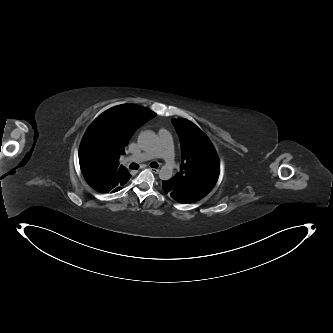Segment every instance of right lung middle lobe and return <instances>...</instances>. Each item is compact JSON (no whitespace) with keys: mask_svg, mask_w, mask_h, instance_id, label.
<instances>
[{"mask_svg":"<svg viewBox=\"0 0 333 333\" xmlns=\"http://www.w3.org/2000/svg\"><path fill=\"white\" fill-rule=\"evenodd\" d=\"M98 147V139L95 137V132L86 131L79 150L80 164H90L95 159L96 150Z\"/></svg>","mask_w":333,"mask_h":333,"instance_id":"dd1d6c3e","label":"right lung middle lobe"}]
</instances>
